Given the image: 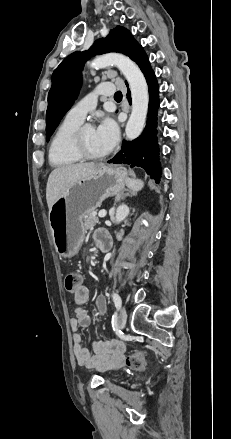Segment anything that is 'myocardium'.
<instances>
[{
	"instance_id": "1",
	"label": "myocardium",
	"mask_w": 231,
	"mask_h": 439,
	"mask_svg": "<svg viewBox=\"0 0 231 439\" xmlns=\"http://www.w3.org/2000/svg\"><path fill=\"white\" fill-rule=\"evenodd\" d=\"M89 126H80L72 135V139H71V145H72V149L73 151L81 158L84 160H99L102 159L104 157H106L108 155V153H104V154H93L90 151L87 150V148L84 145L83 142V132L85 130V128H87Z\"/></svg>"
}]
</instances>
